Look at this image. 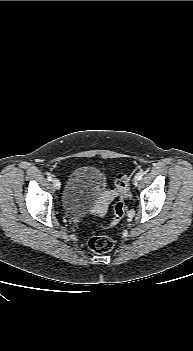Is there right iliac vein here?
Instances as JSON below:
<instances>
[{
	"label": "right iliac vein",
	"instance_id": "right-iliac-vein-1",
	"mask_svg": "<svg viewBox=\"0 0 193 351\" xmlns=\"http://www.w3.org/2000/svg\"><path fill=\"white\" fill-rule=\"evenodd\" d=\"M52 183H53V186H54L56 189H60L61 183H60V181H59L57 178H54V179L52 180Z\"/></svg>",
	"mask_w": 193,
	"mask_h": 351
}]
</instances>
